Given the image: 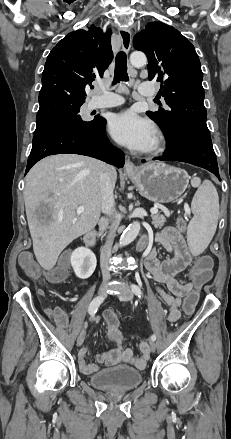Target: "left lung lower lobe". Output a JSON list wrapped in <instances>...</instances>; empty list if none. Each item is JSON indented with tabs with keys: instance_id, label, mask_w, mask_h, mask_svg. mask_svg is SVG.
Returning <instances> with one entry per match:
<instances>
[{
	"instance_id": "obj_1",
	"label": "left lung lower lobe",
	"mask_w": 231,
	"mask_h": 439,
	"mask_svg": "<svg viewBox=\"0 0 231 439\" xmlns=\"http://www.w3.org/2000/svg\"><path fill=\"white\" fill-rule=\"evenodd\" d=\"M167 148L160 157L154 160L181 161L202 167L221 180L215 152L210 136L193 131H178L166 138ZM146 160H142L144 163Z\"/></svg>"
}]
</instances>
